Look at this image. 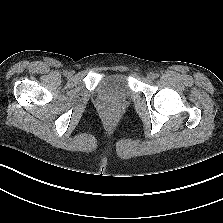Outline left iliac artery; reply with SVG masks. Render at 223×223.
Masks as SVG:
<instances>
[{
	"instance_id": "obj_1",
	"label": "left iliac artery",
	"mask_w": 223,
	"mask_h": 223,
	"mask_svg": "<svg viewBox=\"0 0 223 223\" xmlns=\"http://www.w3.org/2000/svg\"><path fill=\"white\" fill-rule=\"evenodd\" d=\"M159 77V74L155 73V78H158Z\"/></svg>"
}]
</instances>
